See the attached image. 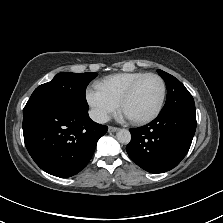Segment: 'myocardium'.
<instances>
[{
    "label": "myocardium",
    "mask_w": 223,
    "mask_h": 223,
    "mask_svg": "<svg viewBox=\"0 0 223 223\" xmlns=\"http://www.w3.org/2000/svg\"><path fill=\"white\" fill-rule=\"evenodd\" d=\"M149 77H154L156 78L161 85V94H160V98H159V102L157 107L155 108V110L148 116L143 117V118H130L127 117L131 122L133 123H137V124H146L149 123L151 121H153L161 112L163 104H164V100H165V96H166V85L164 80L162 79V77H160L157 74L154 73H148L144 76H142L141 78H139L127 91L126 93L120 98L119 100V108L121 111V108L123 107V105L132 97V95L136 92V90L138 89V87L141 85V83L149 78Z\"/></svg>",
    "instance_id": "f54148a6"
}]
</instances>
